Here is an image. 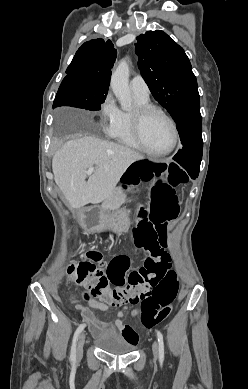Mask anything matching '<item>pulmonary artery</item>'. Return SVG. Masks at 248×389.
Listing matches in <instances>:
<instances>
[{
  "label": "pulmonary artery",
  "mask_w": 248,
  "mask_h": 389,
  "mask_svg": "<svg viewBox=\"0 0 248 389\" xmlns=\"http://www.w3.org/2000/svg\"><path fill=\"white\" fill-rule=\"evenodd\" d=\"M130 87L136 97L141 99H149V87L140 75H136L131 79Z\"/></svg>",
  "instance_id": "pulmonary-artery-1"
}]
</instances>
